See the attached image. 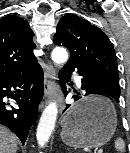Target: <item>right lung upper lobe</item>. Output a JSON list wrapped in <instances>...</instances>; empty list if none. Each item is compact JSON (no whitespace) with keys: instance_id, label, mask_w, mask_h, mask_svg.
<instances>
[{"instance_id":"right-lung-upper-lobe-1","label":"right lung upper lobe","mask_w":130,"mask_h":153,"mask_svg":"<svg viewBox=\"0 0 130 153\" xmlns=\"http://www.w3.org/2000/svg\"><path fill=\"white\" fill-rule=\"evenodd\" d=\"M32 38L33 32L23 18L9 15L0 19V77L26 73L39 66Z\"/></svg>"}]
</instances>
